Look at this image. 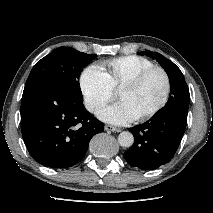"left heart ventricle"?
I'll return each mask as SVG.
<instances>
[{"label":"left heart ventricle","mask_w":213,"mask_h":213,"mask_svg":"<svg viewBox=\"0 0 213 213\" xmlns=\"http://www.w3.org/2000/svg\"><path fill=\"white\" fill-rule=\"evenodd\" d=\"M165 91V80L161 73L155 72L147 76L138 86L119 91L118 97L124 101L138 117L162 99Z\"/></svg>","instance_id":"1"}]
</instances>
